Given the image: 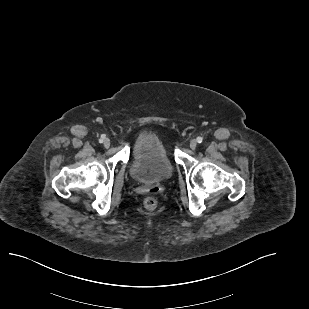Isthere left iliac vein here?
I'll list each match as a JSON object with an SVG mask.
<instances>
[{
    "label": "left iliac vein",
    "instance_id": "1",
    "mask_svg": "<svg viewBox=\"0 0 309 309\" xmlns=\"http://www.w3.org/2000/svg\"><path fill=\"white\" fill-rule=\"evenodd\" d=\"M196 147H197V141L196 140H191L190 148L194 150Z\"/></svg>",
    "mask_w": 309,
    "mask_h": 309
}]
</instances>
